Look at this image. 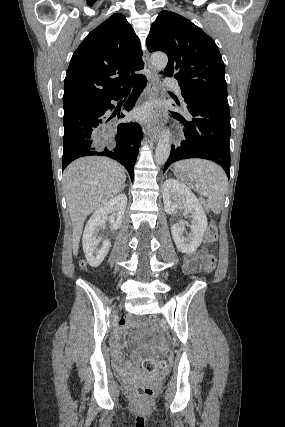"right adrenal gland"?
Returning <instances> with one entry per match:
<instances>
[{
  "label": "right adrenal gland",
  "mask_w": 285,
  "mask_h": 427,
  "mask_svg": "<svg viewBox=\"0 0 285 427\" xmlns=\"http://www.w3.org/2000/svg\"><path fill=\"white\" fill-rule=\"evenodd\" d=\"M126 186H127V185H126V184H124V185H123V187L121 188L120 192H122Z\"/></svg>",
  "instance_id": "obj_1"
}]
</instances>
